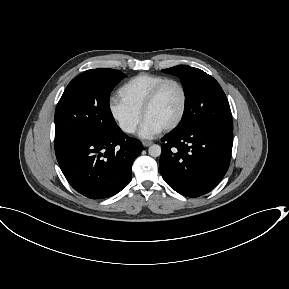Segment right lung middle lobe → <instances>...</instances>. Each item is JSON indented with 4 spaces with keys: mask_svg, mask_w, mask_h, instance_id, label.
<instances>
[{
    "mask_svg": "<svg viewBox=\"0 0 289 289\" xmlns=\"http://www.w3.org/2000/svg\"><path fill=\"white\" fill-rule=\"evenodd\" d=\"M124 77L120 71L98 68L69 83L55 111V150L82 137L118 127L110 111L109 96Z\"/></svg>",
    "mask_w": 289,
    "mask_h": 289,
    "instance_id": "right-lung-middle-lobe-1",
    "label": "right lung middle lobe"
}]
</instances>
